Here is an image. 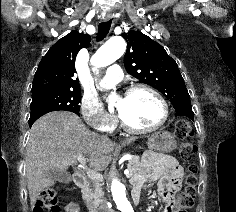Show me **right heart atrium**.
Returning <instances> with one entry per match:
<instances>
[{
	"instance_id": "right-heart-atrium-1",
	"label": "right heart atrium",
	"mask_w": 236,
	"mask_h": 212,
	"mask_svg": "<svg viewBox=\"0 0 236 212\" xmlns=\"http://www.w3.org/2000/svg\"><path fill=\"white\" fill-rule=\"evenodd\" d=\"M80 112L91 128L98 131H110L114 126V118L106 113L95 96L84 95L80 103Z\"/></svg>"
}]
</instances>
